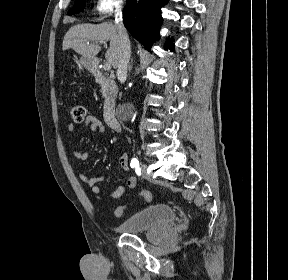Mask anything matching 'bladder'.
I'll list each match as a JSON object with an SVG mask.
<instances>
[{
  "label": "bladder",
  "instance_id": "31cf9c89",
  "mask_svg": "<svg viewBox=\"0 0 288 280\" xmlns=\"http://www.w3.org/2000/svg\"><path fill=\"white\" fill-rule=\"evenodd\" d=\"M177 218L176 211L168 204L147 207L117 226L122 233L135 234L169 226Z\"/></svg>",
  "mask_w": 288,
  "mask_h": 280
}]
</instances>
